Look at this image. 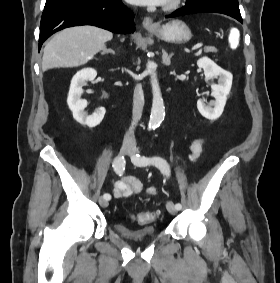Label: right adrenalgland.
<instances>
[{
    "mask_svg": "<svg viewBox=\"0 0 280 283\" xmlns=\"http://www.w3.org/2000/svg\"><path fill=\"white\" fill-rule=\"evenodd\" d=\"M108 53H111V54L115 55V51L114 50L107 49L106 46H105L104 49L102 50L101 54L105 55V54H108Z\"/></svg>",
    "mask_w": 280,
    "mask_h": 283,
    "instance_id": "right-adrenal-gland-1",
    "label": "right adrenal gland"
}]
</instances>
